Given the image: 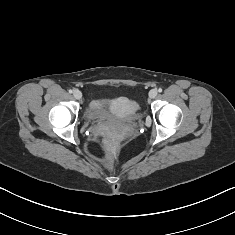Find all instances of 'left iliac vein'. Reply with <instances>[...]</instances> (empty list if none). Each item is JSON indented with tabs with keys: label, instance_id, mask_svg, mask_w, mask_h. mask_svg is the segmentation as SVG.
Masks as SVG:
<instances>
[{
	"label": "left iliac vein",
	"instance_id": "left-iliac-vein-1",
	"mask_svg": "<svg viewBox=\"0 0 235 235\" xmlns=\"http://www.w3.org/2000/svg\"><path fill=\"white\" fill-rule=\"evenodd\" d=\"M157 96V90L156 89H152L149 92V97L150 98H155Z\"/></svg>",
	"mask_w": 235,
	"mask_h": 235
}]
</instances>
